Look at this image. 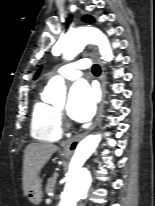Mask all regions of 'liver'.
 Returning <instances> with one entry per match:
<instances>
[{
  "instance_id": "obj_1",
  "label": "liver",
  "mask_w": 155,
  "mask_h": 206,
  "mask_svg": "<svg viewBox=\"0 0 155 206\" xmlns=\"http://www.w3.org/2000/svg\"><path fill=\"white\" fill-rule=\"evenodd\" d=\"M58 150L51 143H31L24 151L23 162V191L27 196L33 180L38 177L40 170Z\"/></svg>"
}]
</instances>
